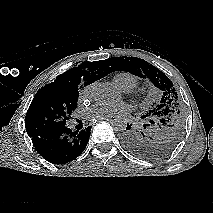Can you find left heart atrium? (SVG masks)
<instances>
[{
	"instance_id": "left-heart-atrium-1",
	"label": "left heart atrium",
	"mask_w": 213,
	"mask_h": 213,
	"mask_svg": "<svg viewBox=\"0 0 213 213\" xmlns=\"http://www.w3.org/2000/svg\"><path fill=\"white\" fill-rule=\"evenodd\" d=\"M125 106L120 104H107V103H96L89 107L85 111V116L88 119L95 120V119H103L112 117L114 115L123 113L125 111Z\"/></svg>"
}]
</instances>
